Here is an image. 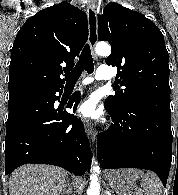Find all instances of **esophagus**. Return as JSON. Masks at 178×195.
Returning a JSON list of instances; mask_svg holds the SVG:
<instances>
[{"label": "esophagus", "mask_w": 178, "mask_h": 195, "mask_svg": "<svg viewBox=\"0 0 178 195\" xmlns=\"http://www.w3.org/2000/svg\"><path fill=\"white\" fill-rule=\"evenodd\" d=\"M87 17H88V29H89V45L93 57L95 60L98 59L97 55L95 54V45L98 41V33H97V14L94 4H89L87 6ZM84 127L87 135L95 140L96 133L93 129V124L89 120H84Z\"/></svg>", "instance_id": "esophagus-1"}]
</instances>
